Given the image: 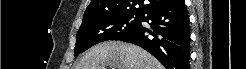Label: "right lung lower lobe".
I'll use <instances>...</instances> for the list:
<instances>
[{
	"label": "right lung lower lobe",
	"instance_id": "right-lung-lower-lobe-1",
	"mask_svg": "<svg viewBox=\"0 0 246 69\" xmlns=\"http://www.w3.org/2000/svg\"><path fill=\"white\" fill-rule=\"evenodd\" d=\"M142 21H151L150 28L140 23L118 40L144 48L167 69H189L190 28L184 0H166L148 8Z\"/></svg>",
	"mask_w": 246,
	"mask_h": 69
}]
</instances>
